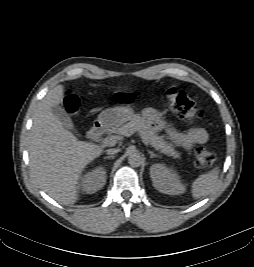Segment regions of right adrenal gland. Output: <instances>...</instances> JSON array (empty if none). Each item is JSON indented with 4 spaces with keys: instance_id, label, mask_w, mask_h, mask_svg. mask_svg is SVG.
<instances>
[{
    "instance_id": "1",
    "label": "right adrenal gland",
    "mask_w": 254,
    "mask_h": 267,
    "mask_svg": "<svg viewBox=\"0 0 254 267\" xmlns=\"http://www.w3.org/2000/svg\"><path fill=\"white\" fill-rule=\"evenodd\" d=\"M114 158H115V156H113V155L104 157V159H114Z\"/></svg>"
}]
</instances>
